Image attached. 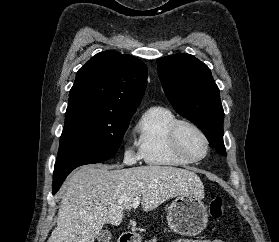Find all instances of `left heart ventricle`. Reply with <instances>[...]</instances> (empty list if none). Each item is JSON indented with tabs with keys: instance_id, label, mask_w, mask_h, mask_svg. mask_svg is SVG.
<instances>
[{
	"instance_id": "1",
	"label": "left heart ventricle",
	"mask_w": 279,
	"mask_h": 242,
	"mask_svg": "<svg viewBox=\"0 0 279 242\" xmlns=\"http://www.w3.org/2000/svg\"><path fill=\"white\" fill-rule=\"evenodd\" d=\"M181 143L183 149L192 157H200L205 152V144L202 138L192 129L183 128L181 130Z\"/></svg>"
}]
</instances>
